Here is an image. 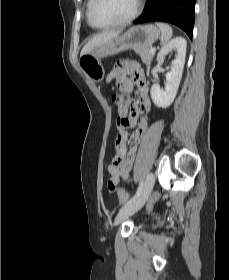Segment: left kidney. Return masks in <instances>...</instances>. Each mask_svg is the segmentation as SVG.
Wrapping results in <instances>:
<instances>
[{"label":"left kidney","instance_id":"obj_1","mask_svg":"<svg viewBox=\"0 0 229 280\" xmlns=\"http://www.w3.org/2000/svg\"><path fill=\"white\" fill-rule=\"evenodd\" d=\"M187 42L183 37H176L167 45L161 48L157 55V61H163L164 57L172 50L176 51V57L172 61L170 72L166 75L165 88L161 89L158 84L151 87V98L154 104L159 108H167L174 101L180 81L186 57Z\"/></svg>","mask_w":229,"mask_h":280}]
</instances>
